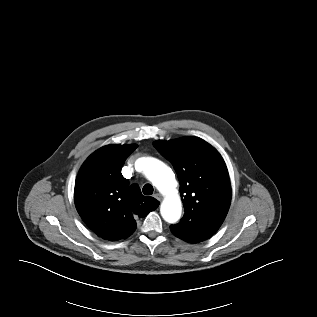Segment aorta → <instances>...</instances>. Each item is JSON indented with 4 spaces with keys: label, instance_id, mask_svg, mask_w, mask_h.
I'll return each mask as SVG.
<instances>
[{
    "label": "aorta",
    "instance_id": "762f6f07",
    "mask_svg": "<svg viewBox=\"0 0 317 317\" xmlns=\"http://www.w3.org/2000/svg\"><path fill=\"white\" fill-rule=\"evenodd\" d=\"M141 164V174L164 195L160 207L161 216L168 223L177 222L181 217L182 203L180 197L173 193L176 190L177 181L172 169L152 156L143 157Z\"/></svg>",
    "mask_w": 317,
    "mask_h": 317
}]
</instances>
